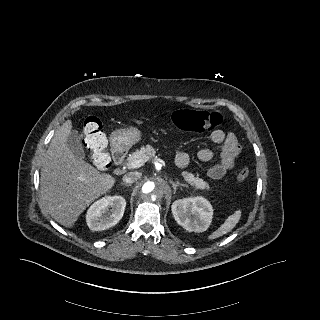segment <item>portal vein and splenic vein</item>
<instances>
[{
    "mask_svg": "<svg viewBox=\"0 0 320 320\" xmlns=\"http://www.w3.org/2000/svg\"><path fill=\"white\" fill-rule=\"evenodd\" d=\"M156 160H157L158 162H160L162 165L165 164L164 161L161 160V159H159V158H157ZM144 162H145V161H143V160H137V161H134V162H129V163L126 164V167H127L128 169L139 168V167H141V166L144 164Z\"/></svg>",
    "mask_w": 320,
    "mask_h": 320,
    "instance_id": "18ae733b",
    "label": "portal vein and splenic vein"
}]
</instances>
